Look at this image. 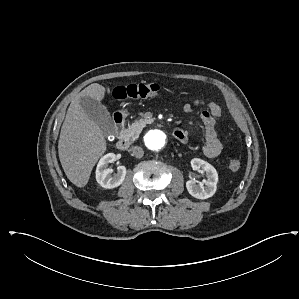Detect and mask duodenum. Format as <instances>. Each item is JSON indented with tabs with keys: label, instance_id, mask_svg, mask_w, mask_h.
I'll use <instances>...</instances> for the list:
<instances>
[{
	"label": "duodenum",
	"instance_id": "410a0bca",
	"mask_svg": "<svg viewBox=\"0 0 299 299\" xmlns=\"http://www.w3.org/2000/svg\"><path fill=\"white\" fill-rule=\"evenodd\" d=\"M113 121H114L115 132L120 135L123 131L124 124H125L124 114L121 113V112L114 113ZM174 136L178 140H185L186 139L185 134L182 131H179L177 129L174 130ZM129 146H130V142L122 136L116 142V147L119 150H126V149L129 148Z\"/></svg>",
	"mask_w": 299,
	"mask_h": 299
}]
</instances>
